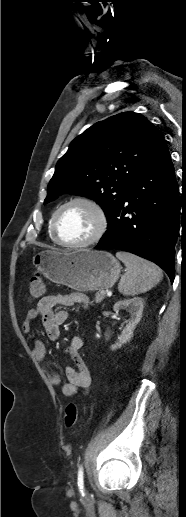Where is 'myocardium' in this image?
Here are the masks:
<instances>
[{
    "mask_svg": "<svg viewBox=\"0 0 186 517\" xmlns=\"http://www.w3.org/2000/svg\"><path fill=\"white\" fill-rule=\"evenodd\" d=\"M74 204H82L87 206L92 210L96 217V228L92 235L85 239L84 241L78 242V243H69L61 239V237L58 234L57 224H58V218L61 214V212L67 208L68 206L74 205ZM108 228V217L103 209V207L93 198L87 197V196H78L74 197L62 205H60L57 210L54 212L51 220V231L52 235L54 237V240L61 246L71 249H78V248H85L88 246H91L95 243H97L105 234L106 230Z\"/></svg>",
    "mask_w": 186,
    "mask_h": 517,
    "instance_id": "1",
    "label": "myocardium"
}]
</instances>
